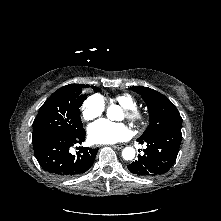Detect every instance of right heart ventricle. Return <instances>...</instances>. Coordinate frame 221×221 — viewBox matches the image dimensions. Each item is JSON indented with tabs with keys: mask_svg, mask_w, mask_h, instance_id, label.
I'll list each match as a JSON object with an SVG mask.
<instances>
[{
	"mask_svg": "<svg viewBox=\"0 0 221 221\" xmlns=\"http://www.w3.org/2000/svg\"><path fill=\"white\" fill-rule=\"evenodd\" d=\"M116 102H118L125 109L135 108L136 100L135 98L127 93L118 94L113 98Z\"/></svg>",
	"mask_w": 221,
	"mask_h": 221,
	"instance_id": "e07e8e85",
	"label": "right heart ventricle"
}]
</instances>
